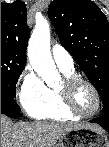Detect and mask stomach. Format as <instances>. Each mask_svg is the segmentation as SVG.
<instances>
[{
  "label": "stomach",
  "instance_id": "stomach-1",
  "mask_svg": "<svg viewBox=\"0 0 109 147\" xmlns=\"http://www.w3.org/2000/svg\"><path fill=\"white\" fill-rule=\"evenodd\" d=\"M59 147H109V137L105 131L77 128L59 140Z\"/></svg>",
  "mask_w": 109,
  "mask_h": 147
}]
</instances>
